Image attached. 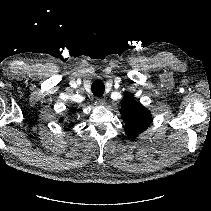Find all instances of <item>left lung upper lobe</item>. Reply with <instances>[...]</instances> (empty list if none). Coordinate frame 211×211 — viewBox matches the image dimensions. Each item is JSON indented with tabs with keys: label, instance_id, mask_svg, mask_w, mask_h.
<instances>
[{
	"label": "left lung upper lobe",
	"instance_id": "left-lung-upper-lobe-1",
	"mask_svg": "<svg viewBox=\"0 0 211 211\" xmlns=\"http://www.w3.org/2000/svg\"><path fill=\"white\" fill-rule=\"evenodd\" d=\"M120 113L125 122V132L130 138H135L148 128L152 121V115L139 102L130 96H125L121 101Z\"/></svg>",
	"mask_w": 211,
	"mask_h": 211
}]
</instances>
